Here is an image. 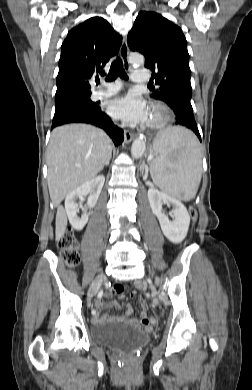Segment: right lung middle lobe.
Listing matches in <instances>:
<instances>
[{"label": "right lung middle lobe", "mask_w": 252, "mask_h": 390, "mask_svg": "<svg viewBox=\"0 0 252 390\" xmlns=\"http://www.w3.org/2000/svg\"><path fill=\"white\" fill-rule=\"evenodd\" d=\"M69 104H81L89 107L96 106V104L90 100V95H81V96H76L65 100L55 101L56 108L69 105Z\"/></svg>", "instance_id": "dd1d6c3e"}]
</instances>
